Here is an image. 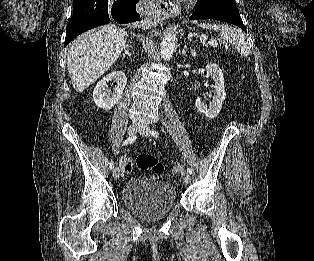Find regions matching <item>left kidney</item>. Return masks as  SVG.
<instances>
[{
  "instance_id": "obj_1",
  "label": "left kidney",
  "mask_w": 314,
  "mask_h": 261,
  "mask_svg": "<svg viewBox=\"0 0 314 261\" xmlns=\"http://www.w3.org/2000/svg\"><path fill=\"white\" fill-rule=\"evenodd\" d=\"M207 76L212 77L214 80V97L209 107L205 102H203L200 98H197L195 101L196 108L203 113L208 118H215L218 116L222 102L225 100L226 92L224 89V77L222 70L218 65L214 63H209L206 66Z\"/></svg>"
}]
</instances>
